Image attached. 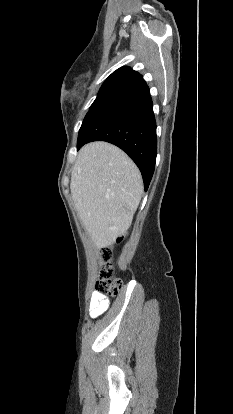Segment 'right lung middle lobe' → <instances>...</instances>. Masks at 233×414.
Wrapping results in <instances>:
<instances>
[{
    "instance_id": "obj_1",
    "label": "right lung middle lobe",
    "mask_w": 233,
    "mask_h": 414,
    "mask_svg": "<svg viewBox=\"0 0 233 414\" xmlns=\"http://www.w3.org/2000/svg\"><path fill=\"white\" fill-rule=\"evenodd\" d=\"M133 84L134 82L131 80H127V79H123V78L115 77V76H109L107 80L104 82V84L102 85L97 95V98L91 105L90 109H92L94 106H96L103 100L125 91L126 89L131 87Z\"/></svg>"
}]
</instances>
